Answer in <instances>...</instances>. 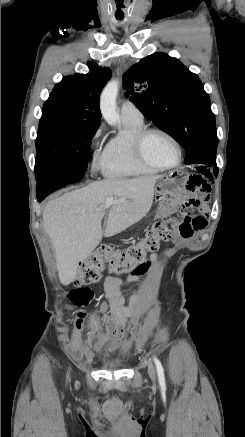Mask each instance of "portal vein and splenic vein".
<instances>
[{
    "mask_svg": "<svg viewBox=\"0 0 245 437\" xmlns=\"http://www.w3.org/2000/svg\"><path fill=\"white\" fill-rule=\"evenodd\" d=\"M121 202H124V200L123 199H114V198L110 197V198H107L105 200L104 206H105V208H109L112 204L121 203Z\"/></svg>",
    "mask_w": 245,
    "mask_h": 437,
    "instance_id": "1",
    "label": "portal vein and splenic vein"
}]
</instances>
